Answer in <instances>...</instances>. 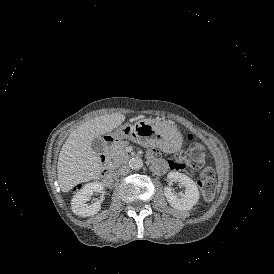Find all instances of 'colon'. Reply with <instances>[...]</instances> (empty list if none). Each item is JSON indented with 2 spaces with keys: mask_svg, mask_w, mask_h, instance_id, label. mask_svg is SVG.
Wrapping results in <instances>:
<instances>
[{
  "mask_svg": "<svg viewBox=\"0 0 274 274\" xmlns=\"http://www.w3.org/2000/svg\"><path fill=\"white\" fill-rule=\"evenodd\" d=\"M173 168L176 170L201 168L200 185L202 195L206 200L213 199L216 191V180L213 169L205 165V146L200 142H191L186 148L171 157ZM76 188L84 186L83 181L75 183Z\"/></svg>",
  "mask_w": 274,
  "mask_h": 274,
  "instance_id": "1",
  "label": "colon"
}]
</instances>
